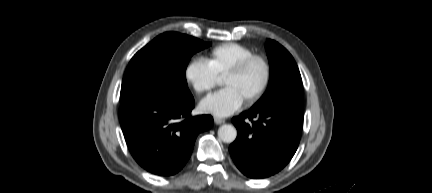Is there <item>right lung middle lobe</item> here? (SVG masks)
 <instances>
[{
  "instance_id": "right-lung-middle-lobe-1",
  "label": "right lung middle lobe",
  "mask_w": 432,
  "mask_h": 193,
  "mask_svg": "<svg viewBox=\"0 0 432 193\" xmlns=\"http://www.w3.org/2000/svg\"><path fill=\"white\" fill-rule=\"evenodd\" d=\"M208 46L207 42L178 32L158 35L126 67L120 104L145 95L175 101L191 97L186 69L191 57Z\"/></svg>"
}]
</instances>
